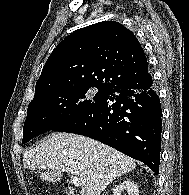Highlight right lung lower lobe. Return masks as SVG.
<instances>
[{"label":"right lung lower lobe","instance_id":"1","mask_svg":"<svg viewBox=\"0 0 189 195\" xmlns=\"http://www.w3.org/2000/svg\"><path fill=\"white\" fill-rule=\"evenodd\" d=\"M162 109L148 72L107 88L91 108L53 131L84 135L142 161L156 174Z\"/></svg>","mask_w":189,"mask_h":195}]
</instances>
